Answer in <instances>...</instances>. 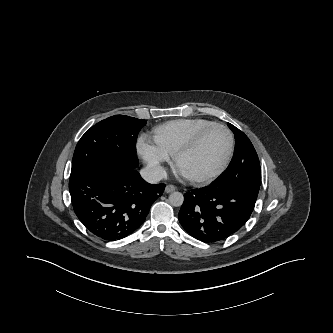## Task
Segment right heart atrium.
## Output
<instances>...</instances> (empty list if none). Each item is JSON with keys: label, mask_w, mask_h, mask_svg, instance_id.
Returning <instances> with one entry per match:
<instances>
[{"label": "right heart atrium", "mask_w": 333, "mask_h": 333, "mask_svg": "<svg viewBox=\"0 0 333 333\" xmlns=\"http://www.w3.org/2000/svg\"><path fill=\"white\" fill-rule=\"evenodd\" d=\"M137 151L155 176L159 177L163 175V164L169 160L167 153L145 137L139 139Z\"/></svg>", "instance_id": "right-heart-atrium-1"}]
</instances>
